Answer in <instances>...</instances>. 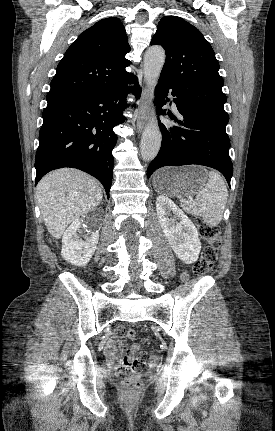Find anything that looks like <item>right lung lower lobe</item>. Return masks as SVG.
I'll use <instances>...</instances> for the list:
<instances>
[{"instance_id": "98d812e1", "label": "right lung lower lobe", "mask_w": 275, "mask_h": 431, "mask_svg": "<svg viewBox=\"0 0 275 431\" xmlns=\"http://www.w3.org/2000/svg\"><path fill=\"white\" fill-rule=\"evenodd\" d=\"M129 91L137 98L141 94L136 76L107 91L49 102L35 157L36 184L53 169L73 167L96 177L109 198L117 142L113 128L125 120Z\"/></svg>"}]
</instances>
